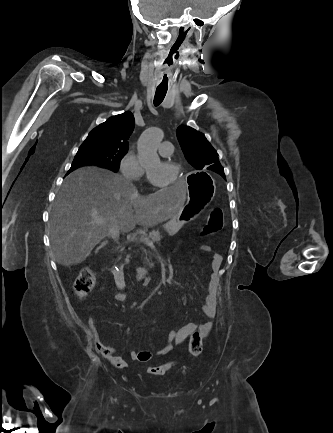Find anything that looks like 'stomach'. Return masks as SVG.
Masks as SVG:
<instances>
[{
  "label": "stomach",
  "mask_w": 333,
  "mask_h": 433,
  "mask_svg": "<svg viewBox=\"0 0 333 433\" xmlns=\"http://www.w3.org/2000/svg\"><path fill=\"white\" fill-rule=\"evenodd\" d=\"M183 183H190L189 200L166 224L169 228H180L184 224H190L203 210L204 206L210 204L216 194V184L210 175L204 172L192 170L190 174H183ZM206 205V206H207Z\"/></svg>",
  "instance_id": "stomach-1"
}]
</instances>
